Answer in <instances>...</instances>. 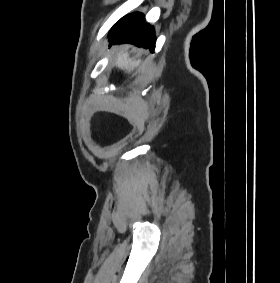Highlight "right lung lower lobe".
I'll list each match as a JSON object with an SVG mask.
<instances>
[{"label": "right lung lower lobe", "instance_id": "right-lung-lower-lobe-1", "mask_svg": "<svg viewBox=\"0 0 280 283\" xmlns=\"http://www.w3.org/2000/svg\"><path fill=\"white\" fill-rule=\"evenodd\" d=\"M112 43H131L137 47L155 48L154 29L145 21L143 14H130L119 20L109 35Z\"/></svg>", "mask_w": 280, "mask_h": 283}]
</instances>
